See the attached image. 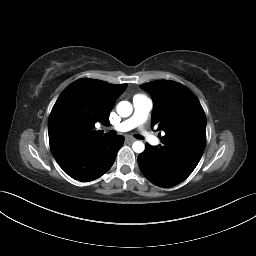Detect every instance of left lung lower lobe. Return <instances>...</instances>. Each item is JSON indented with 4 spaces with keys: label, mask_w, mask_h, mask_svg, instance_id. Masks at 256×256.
<instances>
[{
    "label": "left lung lower lobe",
    "mask_w": 256,
    "mask_h": 256,
    "mask_svg": "<svg viewBox=\"0 0 256 256\" xmlns=\"http://www.w3.org/2000/svg\"><path fill=\"white\" fill-rule=\"evenodd\" d=\"M138 164L143 175L161 187L179 184L194 170L160 155L156 147L150 144H146L145 151L138 156Z\"/></svg>",
    "instance_id": "obj_1"
}]
</instances>
